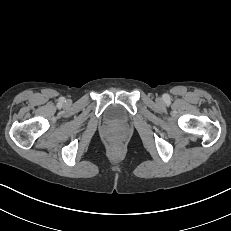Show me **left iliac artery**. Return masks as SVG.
Segmentation results:
<instances>
[{
  "instance_id": "obj_1",
  "label": "left iliac artery",
  "mask_w": 231,
  "mask_h": 231,
  "mask_svg": "<svg viewBox=\"0 0 231 231\" xmlns=\"http://www.w3.org/2000/svg\"><path fill=\"white\" fill-rule=\"evenodd\" d=\"M163 98L166 102H169L170 101V96L168 94H164L163 95Z\"/></svg>"
}]
</instances>
